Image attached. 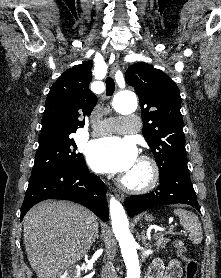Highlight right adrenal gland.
<instances>
[{"instance_id":"right-adrenal-gland-1","label":"right adrenal gland","mask_w":221,"mask_h":278,"mask_svg":"<svg viewBox=\"0 0 221 278\" xmlns=\"http://www.w3.org/2000/svg\"><path fill=\"white\" fill-rule=\"evenodd\" d=\"M96 239H99V233H98V230L96 231V234L93 238V242L95 243Z\"/></svg>"}]
</instances>
